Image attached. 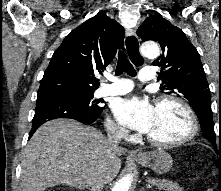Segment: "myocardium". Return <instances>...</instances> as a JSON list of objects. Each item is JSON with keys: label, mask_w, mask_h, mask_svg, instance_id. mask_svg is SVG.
<instances>
[{"label": "myocardium", "mask_w": 221, "mask_h": 191, "mask_svg": "<svg viewBox=\"0 0 221 191\" xmlns=\"http://www.w3.org/2000/svg\"><path fill=\"white\" fill-rule=\"evenodd\" d=\"M167 102L179 106L186 113L189 120V129L187 133L183 137L173 141L156 140L150 137L149 135H146V139L150 144L158 147H164V148L179 147L190 142L196 137L199 131L198 118L193 108L186 101L174 95H161L160 97L157 98L155 104L157 107Z\"/></svg>", "instance_id": "1"}]
</instances>
